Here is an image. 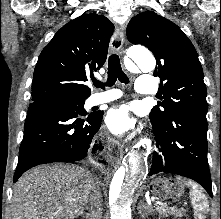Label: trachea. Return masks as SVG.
<instances>
[{"mask_svg": "<svg viewBox=\"0 0 221 219\" xmlns=\"http://www.w3.org/2000/svg\"><path fill=\"white\" fill-rule=\"evenodd\" d=\"M119 80L122 83L128 84L129 79L126 74L123 72L120 64V59L118 55L112 54L109 57L108 61V79L106 84H103L101 81L94 80L93 84L95 87L104 89L105 86H112L115 84L116 80Z\"/></svg>", "mask_w": 221, "mask_h": 219, "instance_id": "3493384b", "label": "trachea"}]
</instances>
